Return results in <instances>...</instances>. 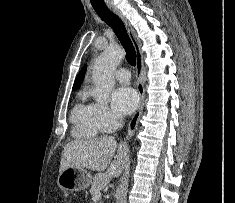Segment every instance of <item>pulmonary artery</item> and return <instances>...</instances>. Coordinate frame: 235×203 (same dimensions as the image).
<instances>
[{
  "instance_id": "1",
  "label": "pulmonary artery",
  "mask_w": 235,
  "mask_h": 203,
  "mask_svg": "<svg viewBox=\"0 0 235 203\" xmlns=\"http://www.w3.org/2000/svg\"><path fill=\"white\" fill-rule=\"evenodd\" d=\"M115 78L120 82H128L130 79V71L126 68H119L114 73Z\"/></svg>"
}]
</instances>
